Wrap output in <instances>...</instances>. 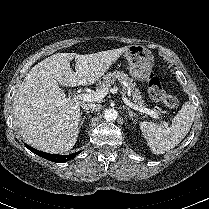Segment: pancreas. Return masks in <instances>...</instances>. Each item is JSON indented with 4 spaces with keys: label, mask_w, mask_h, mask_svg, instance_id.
I'll return each mask as SVG.
<instances>
[{
    "label": "pancreas",
    "mask_w": 209,
    "mask_h": 209,
    "mask_svg": "<svg viewBox=\"0 0 209 209\" xmlns=\"http://www.w3.org/2000/svg\"><path fill=\"white\" fill-rule=\"evenodd\" d=\"M116 80L119 82H124L132 96L133 102L138 106H144V100L140 94V91L136 88V84L133 82V79L128 77L123 71H114L107 73L103 76L102 81H99L97 84V91L105 90L109 91L111 84Z\"/></svg>",
    "instance_id": "pancreas-1"
}]
</instances>
